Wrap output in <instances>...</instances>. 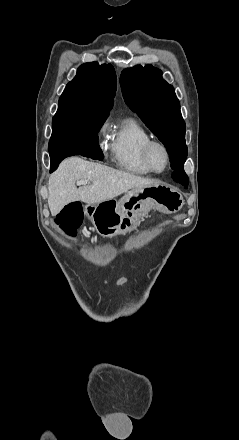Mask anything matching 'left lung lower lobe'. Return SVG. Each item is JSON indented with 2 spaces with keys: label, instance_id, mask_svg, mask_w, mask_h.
Returning <instances> with one entry per match:
<instances>
[{
  "label": "left lung lower lobe",
  "instance_id": "left-lung-lower-lobe-1",
  "mask_svg": "<svg viewBox=\"0 0 239 440\" xmlns=\"http://www.w3.org/2000/svg\"><path fill=\"white\" fill-rule=\"evenodd\" d=\"M173 178L175 181H177L180 184L187 187L188 177H187L186 173L184 172V169L175 170V172L173 174Z\"/></svg>",
  "mask_w": 239,
  "mask_h": 440
}]
</instances>
